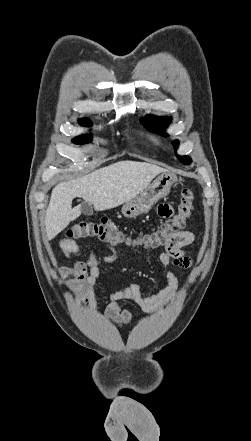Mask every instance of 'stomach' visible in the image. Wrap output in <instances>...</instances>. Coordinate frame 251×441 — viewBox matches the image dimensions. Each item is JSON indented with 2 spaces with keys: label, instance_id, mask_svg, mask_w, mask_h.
Segmentation results:
<instances>
[{
  "label": "stomach",
  "instance_id": "stomach-1",
  "mask_svg": "<svg viewBox=\"0 0 251 441\" xmlns=\"http://www.w3.org/2000/svg\"><path fill=\"white\" fill-rule=\"evenodd\" d=\"M177 182V176L169 171L162 172L143 192L127 201L121 212L126 218H135L147 213L162 198L166 197L171 187Z\"/></svg>",
  "mask_w": 251,
  "mask_h": 441
}]
</instances>
